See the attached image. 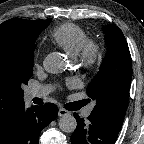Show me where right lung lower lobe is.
Here are the masks:
<instances>
[{"instance_id":"obj_1","label":"right lung lower lobe","mask_w":144,"mask_h":144,"mask_svg":"<svg viewBox=\"0 0 144 144\" xmlns=\"http://www.w3.org/2000/svg\"><path fill=\"white\" fill-rule=\"evenodd\" d=\"M58 114L53 103L19 109L14 118L0 131V144H38L40 132Z\"/></svg>"}]
</instances>
